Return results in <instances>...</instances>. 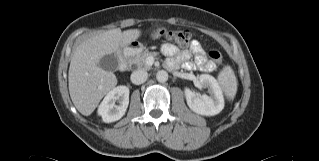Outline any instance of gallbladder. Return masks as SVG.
<instances>
[{
  "instance_id": "bac80fb5",
  "label": "gallbladder",
  "mask_w": 319,
  "mask_h": 161,
  "mask_svg": "<svg viewBox=\"0 0 319 161\" xmlns=\"http://www.w3.org/2000/svg\"><path fill=\"white\" fill-rule=\"evenodd\" d=\"M119 60L115 54H109L103 56L98 66L101 67L105 71H115L118 68Z\"/></svg>"
}]
</instances>
